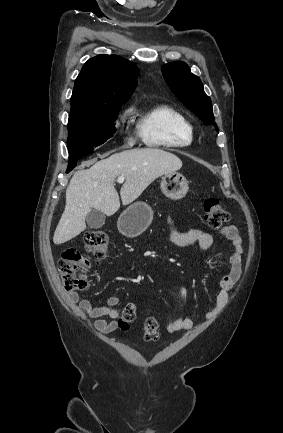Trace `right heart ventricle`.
<instances>
[{"label": "right heart ventricle", "mask_w": 283, "mask_h": 433, "mask_svg": "<svg viewBox=\"0 0 283 433\" xmlns=\"http://www.w3.org/2000/svg\"><path fill=\"white\" fill-rule=\"evenodd\" d=\"M136 129L149 147L182 148L192 142L193 126L189 119L166 105L138 113Z\"/></svg>", "instance_id": "1"}]
</instances>
